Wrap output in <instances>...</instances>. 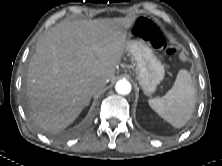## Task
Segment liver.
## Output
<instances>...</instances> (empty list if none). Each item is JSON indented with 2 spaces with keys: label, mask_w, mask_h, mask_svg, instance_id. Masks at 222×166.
<instances>
[{
  "label": "liver",
  "mask_w": 222,
  "mask_h": 166,
  "mask_svg": "<svg viewBox=\"0 0 222 166\" xmlns=\"http://www.w3.org/2000/svg\"><path fill=\"white\" fill-rule=\"evenodd\" d=\"M134 22L131 17L64 21L45 32L27 74L28 104L40 128L68 127L89 105L93 83L114 77Z\"/></svg>",
  "instance_id": "obj_1"
}]
</instances>
